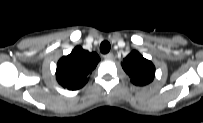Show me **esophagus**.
<instances>
[{"mask_svg":"<svg viewBox=\"0 0 203 123\" xmlns=\"http://www.w3.org/2000/svg\"><path fill=\"white\" fill-rule=\"evenodd\" d=\"M103 57L105 60H112L114 58L112 53L105 54Z\"/></svg>","mask_w":203,"mask_h":123,"instance_id":"1","label":"esophagus"}]
</instances>
